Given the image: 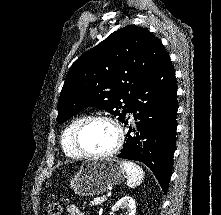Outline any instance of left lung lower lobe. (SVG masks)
<instances>
[{
  "label": "left lung lower lobe",
  "mask_w": 221,
  "mask_h": 215,
  "mask_svg": "<svg viewBox=\"0 0 221 215\" xmlns=\"http://www.w3.org/2000/svg\"><path fill=\"white\" fill-rule=\"evenodd\" d=\"M177 110L175 71L168 56L132 98L127 112L133 113L138 120L133 129L135 135L127 134L118 155L147 165L164 193L168 190L176 147Z\"/></svg>",
  "instance_id": "0a47b994"
}]
</instances>
